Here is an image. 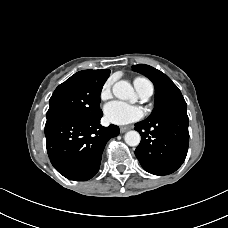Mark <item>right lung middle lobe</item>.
Returning a JSON list of instances; mask_svg holds the SVG:
<instances>
[{"mask_svg":"<svg viewBox=\"0 0 228 228\" xmlns=\"http://www.w3.org/2000/svg\"><path fill=\"white\" fill-rule=\"evenodd\" d=\"M109 74L107 69L93 78L73 75L60 84L49 100L47 122L59 117L92 118L100 114V94Z\"/></svg>","mask_w":228,"mask_h":228,"instance_id":"right-lung-middle-lobe-1","label":"right lung middle lobe"}]
</instances>
